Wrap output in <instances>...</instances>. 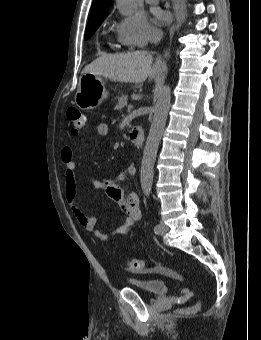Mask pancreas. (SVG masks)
Instances as JSON below:
<instances>
[{
	"mask_svg": "<svg viewBox=\"0 0 261 340\" xmlns=\"http://www.w3.org/2000/svg\"><path fill=\"white\" fill-rule=\"evenodd\" d=\"M127 95H122L121 97L118 98V103L115 106V110H121L123 107L127 105Z\"/></svg>",
	"mask_w": 261,
	"mask_h": 340,
	"instance_id": "1",
	"label": "pancreas"
}]
</instances>
